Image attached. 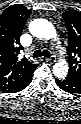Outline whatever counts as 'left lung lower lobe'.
<instances>
[{
  "mask_svg": "<svg viewBox=\"0 0 81 124\" xmlns=\"http://www.w3.org/2000/svg\"><path fill=\"white\" fill-rule=\"evenodd\" d=\"M56 84L64 91L71 93L73 95H77L81 93V85L76 82L65 78V79H57Z\"/></svg>",
  "mask_w": 81,
  "mask_h": 124,
  "instance_id": "0a47b994",
  "label": "left lung lower lobe"
}]
</instances>
